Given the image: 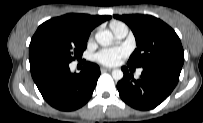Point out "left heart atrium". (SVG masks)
I'll list each match as a JSON object with an SVG mask.
<instances>
[{"label": "left heart atrium", "mask_w": 203, "mask_h": 123, "mask_svg": "<svg viewBox=\"0 0 203 123\" xmlns=\"http://www.w3.org/2000/svg\"><path fill=\"white\" fill-rule=\"evenodd\" d=\"M126 54L127 51L124 48H108L100 50L95 55V59L103 65L114 66L117 65Z\"/></svg>", "instance_id": "left-heart-atrium-1"}]
</instances>
